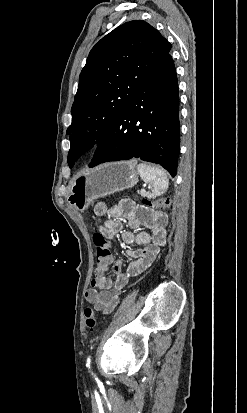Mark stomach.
<instances>
[{
    "instance_id": "0dacf381",
    "label": "stomach",
    "mask_w": 247,
    "mask_h": 413,
    "mask_svg": "<svg viewBox=\"0 0 247 413\" xmlns=\"http://www.w3.org/2000/svg\"><path fill=\"white\" fill-rule=\"evenodd\" d=\"M138 174L140 172L134 160L103 162L94 168L82 170L70 182L68 204L78 211H85L95 198L137 184Z\"/></svg>"
}]
</instances>
